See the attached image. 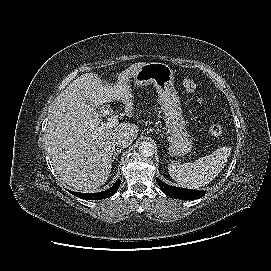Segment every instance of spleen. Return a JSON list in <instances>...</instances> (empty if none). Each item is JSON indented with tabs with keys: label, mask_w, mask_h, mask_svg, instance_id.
<instances>
[{
	"label": "spleen",
	"mask_w": 271,
	"mask_h": 271,
	"mask_svg": "<svg viewBox=\"0 0 271 271\" xmlns=\"http://www.w3.org/2000/svg\"><path fill=\"white\" fill-rule=\"evenodd\" d=\"M231 153L230 147H221L194 162L171 163L168 172L180 186L196 189L210 183L223 170Z\"/></svg>",
	"instance_id": "obj_1"
}]
</instances>
